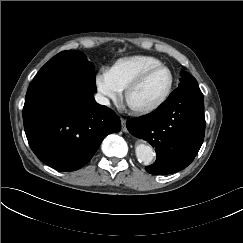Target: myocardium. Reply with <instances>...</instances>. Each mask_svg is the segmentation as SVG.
<instances>
[{
	"label": "myocardium",
	"instance_id": "obj_1",
	"mask_svg": "<svg viewBox=\"0 0 243 243\" xmlns=\"http://www.w3.org/2000/svg\"><path fill=\"white\" fill-rule=\"evenodd\" d=\"M158 69H166L169 73V83L167 86V89L165 90L164 94L155 102L147 105V106H143V107H134L130 104V95L132 94V92L134 90H136L145 80V78L152 73L155 70ZM173 86H174V75L172 70L164 65V64H158L155 66H151L145 70H143L141 73H139L131 82L130 84L126 87L125 89V93H124V98L125 101L127 103V105L131 108V110H133L134 112L138 113V114H147V113H151L157 109H159L170 97L172 90H173Z\"/></svg>",
	"mask_w": 243,
	"mask_h": 243
}]
</instances>
